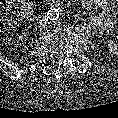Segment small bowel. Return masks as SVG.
<instances>
[{"mask_svg":"<svg viewBox=\"0 0 118 118\" xmlns=\"http://www.w3.org/2000/svg\"><path fill=\"white\" fill-rule=\"evenodd\" d=\"M112 2V4H111ZM118 7V0H92L86 5V9L89 11L90 22L102 31H109L113 22L108 18V13L110 11V6ZM98 8L101 10L100 14L92 13V10ZM118 44V33L115 35L114 39L111 41V46H117Z\"/></svg>","mask_w":118,"mask_h":118,"instance_id":"obj_1","label":"small bowel"}]
</instances>
